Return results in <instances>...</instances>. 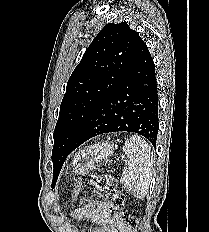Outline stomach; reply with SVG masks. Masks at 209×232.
Wrapping results in <instances>:
<instances>
[{
	"instance_id": "1",
	"label": "stomach",
	"mask_w": 209,
	"mask_h": 232,
	"mask_svg": "<svg viewBox=\"0 0 209 232\" xmlns=\"http://www.w3.org/2000/svg\"><path fill=\"white\" fill-rule=\"evenodd\" d=\"M114 148V144L109 141H101L85 147L72 160L74 174L77 176L88 174L89 170L95 169L106 161L113 154Z\"/></svg>"
}]
</instances>
